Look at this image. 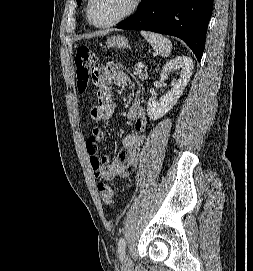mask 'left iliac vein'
Masks as SVG:
<instances>
[{
    "label": "left iliac vein",
    "mask_w": 253,
    "mask_h": 271,
    "mask_svg": "<svg viewBox=\"0 0 253 271\" xmlns=\"http://www.w3.org/2000/svg\"><path fill=\"white\" fill-rule=\"evenodd\" d=\"M122 265L125 269H130L132 267V262L127 255L123 257Z\"/></svg>",
    "instance_id": "left-iliac-vein-1"
}]
</instances>
